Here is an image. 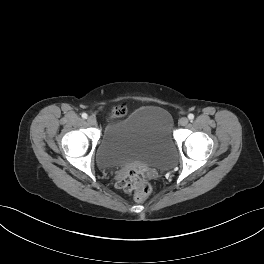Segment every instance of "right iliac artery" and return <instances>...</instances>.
Instances as JSON below:
<instances>
[{
	"label": "right iliac artery",
	"instance_id": "1",
	"mask_svg": "<svg viewBox=\"0 0 264 264\" xmlns=\"http://www.w3.org/2000/svg\"><path fill=\"white\" fill-rule=\"evenodd\" d=\"M87 117H88V115H87L86 113H83V114H82V118H83V119H87Z\"/></svg>",
	"mask_w": 264,
	"mask_h": 264
}]
</instances>
